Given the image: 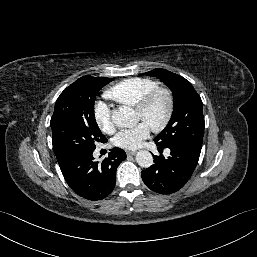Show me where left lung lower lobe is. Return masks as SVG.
I'll list each match as a JSON object with an SVG mask.
<instances>
[{"label": "left lung lower lobe", "mask_w": 257, "mask_h": 257, "mask_svg": "<svg viewBox=\"0 0 257 257\" xmlns=\"http://www.w3.org/2000/svg\"><path fill=\"white\" fill-rule=\"evenodd\" d=\"M157 146L158 149L169 148L170 156L167 159L163 156H154L155 164L142 171V180L157 193H174L190 179L198 163L201 149L183 144Z\"/></svg>", "instance_id": "0a47b994"}]
</instances>
